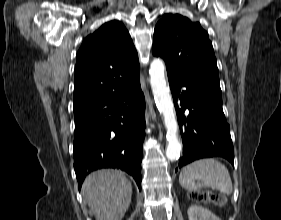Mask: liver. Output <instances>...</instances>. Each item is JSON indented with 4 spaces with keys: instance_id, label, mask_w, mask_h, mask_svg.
Returning a JSON list of instances; mask_svg holds the SVG:
<instances>
[{
    "instance_id": "obj_1",
    "label": "liver",
    "mask_w": 281,
    "mask_h": 220,
    "mask_svg": "<svg viewBox=\"0 0 281 220\" xmlns=\"http://www.w3.org/2000/svg\"><path fill=\"white\" fill-rule=\"evenodd\" d=\"M81 191L96 220H121L131 202L132 184L123 172L103 169L90 173Z\"/></svg>"
}]
</instances>
